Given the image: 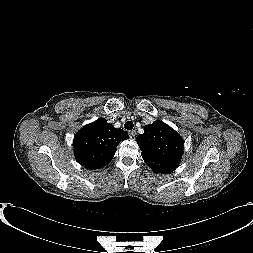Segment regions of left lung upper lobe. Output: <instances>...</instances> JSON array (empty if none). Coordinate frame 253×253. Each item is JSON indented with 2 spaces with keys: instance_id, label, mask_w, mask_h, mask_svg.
Instances as JSON below:
<instances>
[{
  "instance_id": "5c2ea615",
  "label": "left lung upper lobe",
  "mask_w": 253,
  "mask_h": 253,
  "mask_svg": "<svg viewBox=\"0 0 253 253\" xmlns=\"http://www.w3.org/2000/svg\"><path fill=\"white\" fill-rule=\"evenodd\" d=\"M136 141L142 151L145 163L155 172L168 174L181 161L184 141L170 126L156 120L144 127V133Z\"/></svg>"
}]
</instances>
